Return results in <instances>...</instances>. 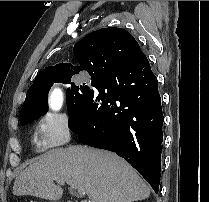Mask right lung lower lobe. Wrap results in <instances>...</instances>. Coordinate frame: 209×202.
<instances>
[{"label": "right lung lower lobe", "mask_w": 209, "mask_h": 202, "mask_svg": "<svg viewBox=\"0 0 209 202\" xmlns=\"http://www.w3.org/2000/svg\"><path fill=\"white\" fill-rule=\"evenodd\" d=\"M121 80H96L94 93L81 113L68 120L78 139L92 147L113 151L129 162L158 193L164 122L156 76L147 57L135 59Z\"/></svg>", "instance_id": "right-lung-lower-lobe-1"}]
</instances>
